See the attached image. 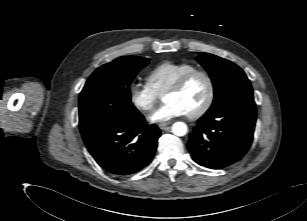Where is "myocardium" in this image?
<instances>
[{
  "label": "myocardium",
  "instance_id": "myocardium-1",
  "mask_svg": "<svg viewBox=\"0 0 307 221\" xmlns=\"http://www.w3.org/2000/svg\"><path fill=\"white\" fill-rule=\"evenodd\" d=\"M196 76L205 78L208 84V95L204 104L195 112L186 114L189 119H198L204 116L212 107L215 99L216 86L213 76L205 70L195 69L181 76L169 89L166 94L177 93L183 90L186 85Z\"/></svg>",
  "mask_w": 307,
  "mask_h": 221
}]
</instances>
